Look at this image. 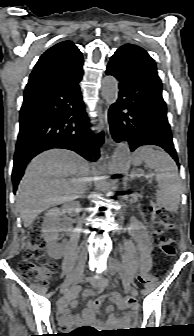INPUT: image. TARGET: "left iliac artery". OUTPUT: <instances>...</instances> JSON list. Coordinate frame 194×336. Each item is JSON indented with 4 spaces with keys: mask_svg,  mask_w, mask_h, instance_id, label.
Segmentation results:
<instances>
[{
    "mask_svg": "<svg viewBox=\"0 0 194 336\" xmlns=\"http://www.w3.org/2000/svg\"><path fill=\"white\" fill-rule=\"evenodd\" d=\"M120 269H121V268H120ZM122 275H123V274H122ZM123 279H124V281L127 280L124 276H123Z\"/></svg>",
    "mask_w": 194,
    "mask_h": 336,
    "instance_id": "left-iliac-artery-1",
    "label": "left iliac artery"
}]
</instances>
